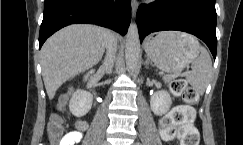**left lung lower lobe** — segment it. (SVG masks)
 I'll return each instance as SVG.
<instances>
[{
  "label": "left lung lower lobe",
  "mask_w": 243,
  "mask_h": 145,
  "mask_svg": "<svg viewBox=\"0 0 243 145\" xmlns=\"http://www.w3.org/2000/svg\"><path fill=\"white\" fill-rule=\"evenodd\" d=\"M215 0H156L137 11L140 41L151 32L178 30L204 41L214 59L217 50Z\"/></svg>",
  "instance_id": "obj_1"
}]
</instances>
